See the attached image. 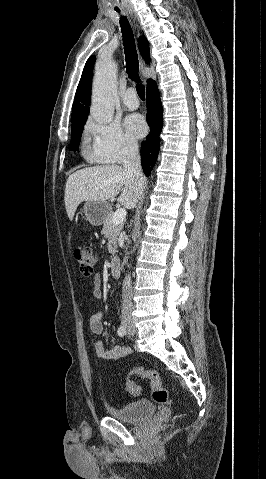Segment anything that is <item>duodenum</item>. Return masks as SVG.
Returning <instances> with one entry per match:
<instances>
[{
  "instance_id": "duodenum-1",
  "label": "duodenum",
  "mask_w": 266,
  "mask_h": 479,
  "mask_svg": "<svg viewBox=\"0 0 266 479\" xmlns=\"http://www.w3.org/2000/svg\"><path fill=\"white\" fill-rule=\"evenodd\" d=\"M110 272L114 278L120 275V259L118 257L112 258L110 262Z\"/></svg>"
}]
</instances>
